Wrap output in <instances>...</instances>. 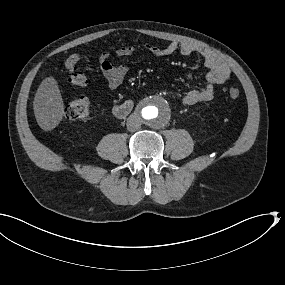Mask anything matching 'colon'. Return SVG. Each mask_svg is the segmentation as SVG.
<instances>
[{
  "label": "colon",
  "mask_w": 285,
  "mask_h": 285,
  "mask_svg": "<svg viewBox=\"0 0 285 285\" xmlns=\"http://www.w3.org/2000/svg\"><path fill=\"white\" fill-rule=\"evenodd\" d=\"M79 54H71L65 61V66L69 72V81L75 85H84L87 81L84 71L78 66ZM231 99L240 96L238 88L232 87L228 91ZM65 115L71 120H86L91 115L90 100L84 96L75 97L70 101L65 109Z\"/></svg>",
  "instance_id": "1"
}]
</instances>
